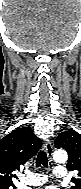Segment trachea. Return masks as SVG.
I'll return each mask as SVG.
<instances>
[{
	"label": "trachea",
	"mask_w": 81,
	"mask_h": 189,
	"mask_svg": "<svg viewBox=\"0 0 81 189\" xmlns=\"http://www.w3.org/2000/svg\"><path fill=\"white\" fill-rule=\"evenodd\" d=\"M41 165H43L44 167H48L47 154L43 150L39 151L36 159V167H40Z\"/></svg>",
	"instance_id": "trachea-1"
}]
</instances>
